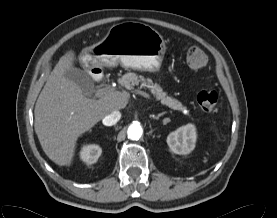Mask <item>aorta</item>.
<instances>
[{"mask_svg": "<svg viewBox=\"0 0 277 218\" xmlns=\"http://www.w3.org/2000/svg\"><path fill=\"white\" fill-rule=\"evenodd\" d=\"M143 129L139 123H133L128 127L127 135L131 140H139L142 136Z\"/></svg>", "mask_w": 277, "mask_h": 218, "instance_id": "obj_1", "label": "aorta"}]
</instances>
